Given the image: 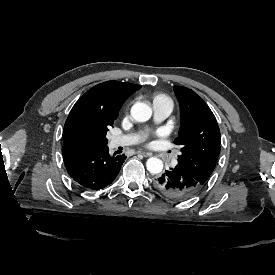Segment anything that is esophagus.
I'll list each match as a JSON object with an SVG mask.
<instances>
[{
	"label": "esophagus",
	"instance_id": "34e87169",
	"mask_svg": "<svg viewBox=\"0 0 275 275\" xmlns=\"http://www.w3.org/2000/svg\"><path fill=\"white\" fill-rule=\"evenodd\" d=\"M137 154H141L144 157H149L152 155V153L146 151H137Z\"/></svg>",
	"mask_w": 275,
	"mask_h": 275
}]
</instances>
